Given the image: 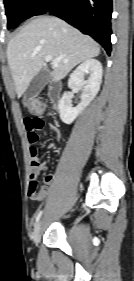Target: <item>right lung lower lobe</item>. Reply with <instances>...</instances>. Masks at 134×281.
I'll list each match as a JSON object with an SVG mask.
<instances>
[{
    "instance_id": "98d812e1",
    "label": "right lung lower lobe",
    "mask_w": 134,
    "mask_h": 281,
    "mask_svg": "<svg viewBox=\"0 0 134 281\" xmlns=\"http://www.w3.org/2000/svg\"><path fill=\"white\" fill-rule=\"evenodd\" d=\"M44 13H52L92 36L110 55L112 0H38L30 17Z\"/></svg>"
}]
</instances>
